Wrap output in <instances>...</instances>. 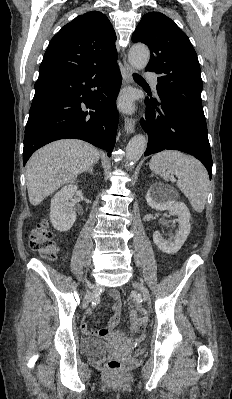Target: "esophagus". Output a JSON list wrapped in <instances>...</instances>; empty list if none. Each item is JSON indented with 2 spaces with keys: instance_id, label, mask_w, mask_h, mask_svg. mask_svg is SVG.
Wrapping results in <instances>:
<instances>
[{
  "instance_id": "34e87169",
  "label": "esophagus",
  "mask_w": 232,
  "mask_h": 399,
  "mask_svg": "<svg viewBox=\"0 0 232 399\" xmlns=\"http://www.w3.org/2000/svg\"><path fill=\"white\" fill-rule=\"evenodd\" d=\"M123 61H124V67L126 70V79L125 82L126 83H132L133 82V78L132 75L134 73V70L132 67H130V65H128L127 61H126V55H124L123 57ZM135 126H136V119L131 118V117H125L124 120V129L128 134H133L135 131Z\"/></svg>"
}]
</instances>
